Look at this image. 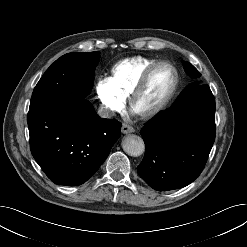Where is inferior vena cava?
I'll use <instances>...</instances> for the list:
<instances>
[{
	"label": "inferior vena cava",
	"mask_w": 247,
	"mask_h": 247,
	"mask_svg": "<svg viewBox=\"0 0 247 247\" xmlns=\"http://www.w3.org/2000/svg\"><path fill=\"white\" fill-rule=\"evenodd\" d=\"M98 115L101 118H111L114 115V111L105 106H100L98 109Z\"/></svg>",
	"instance_id": "602c4592"
}]
</instances>
